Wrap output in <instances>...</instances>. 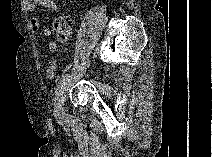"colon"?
Returning <instances> with one entry per match:
<instances>
[{
	"instance_id": "colon-1",
	"label": "colon",
	"mask_w": 212,
	"mask_h": 157,
	"mask_svg": "<svg viewBox=\"0 0 212 157\" xmlns=\"http://www.w3.org/2000/svg\"><path fill=\"white\" fill-rule=\"evenodd\" d=\"M72 29H73V21L67 15L57 17L53 23V30L55 36L60 41L67 40L72 34Z\"/></svg>"
}]
</instances>
